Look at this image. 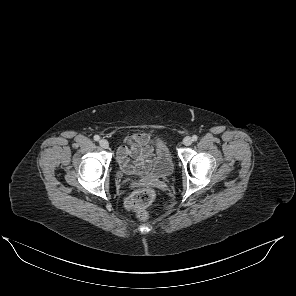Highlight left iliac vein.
I'll return each instance as SVG.
<instances>
[{"mask_svg":"<svg viewBox=\"0 0 296 296\" xmlns=\"http://www.w3.org/2000/svg\"><path fill=\"white\" fill-rule=\"evenodd\" d=\"M183 143L185 146H190L192 144V138L189 136L185 137Z\"/></svg>","mask_w":296,"mask_h":296,"instance_id":"4c4485c4","label":"left iliac vein"}]
</instances>
